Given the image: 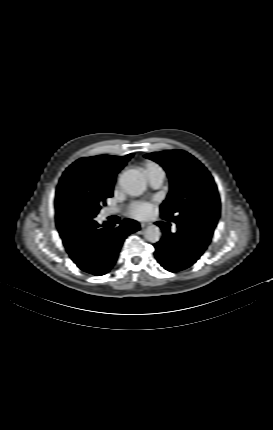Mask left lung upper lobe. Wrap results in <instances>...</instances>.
<instances>
[{"label": "left lung upper lobe", "instance_id": "1", "mask_svg": "<svg viewBox=\"0 0 273 430\" xmlns=\"http://www.w3.org/2000/svg\"><path fill=\"white\" fill-rule=\"evenodd\" d=\"M168 173L170 192L160 207L161 216L190 229L209 244L220 215V198L208 170L183 150L145 155Z\"/></svg>", "mask_w": 273, "mask_h": 430}]
</instances>
